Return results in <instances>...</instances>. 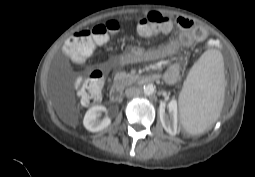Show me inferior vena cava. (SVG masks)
<instances>
[{
	"label": "inferior vena cava",
	"mask_w": 255,
	"mask_h": 177,
	"mask_svg": "<svg viewBox=\"0 0 255 177\" xmlns=\"http://www.w3.org/2000/svg\"><path fill=\"white\" fill-rule=\"evenodd\" d=\"M141 93V90L137 87H130V88H127L126 91H125V94L127 97H136L138 96L139 94Z\"/></svg>",
	"instance_id": "602c4592"
}]
</instances>
